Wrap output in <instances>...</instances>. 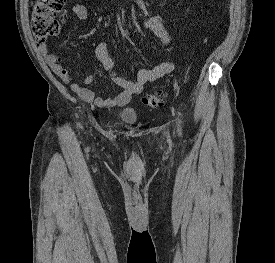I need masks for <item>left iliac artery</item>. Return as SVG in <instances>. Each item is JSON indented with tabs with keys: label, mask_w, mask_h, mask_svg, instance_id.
Segmentation results:
<instances>
[{
	"label": "left iliac artery",
	"mask_w": 275,
	"mask_h": 263,
	"mask_svg": "<svg viewBox=\"0 0 275 263\" xmlns=\"http://www.w3.org/2000/svg\"><path fill=\"white\" fill-rule=\"evenodd\" d=\"M179 134H180V135L182 134V132H181V127L179 128Z\"/></svg>",
	"instance_id": "obj_1"
}]
</instances>
